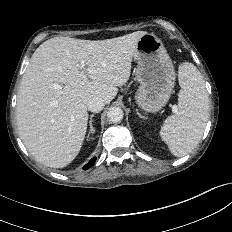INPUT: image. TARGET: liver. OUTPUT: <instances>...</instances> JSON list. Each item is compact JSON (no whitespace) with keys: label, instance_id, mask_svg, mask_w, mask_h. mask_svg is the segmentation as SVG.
<instances>
[{"label":"liver","instance_id":"liver-1","mask_svg":"<svg viewBox=\"0 0 232 232\" xmlns=\"http://www.w3.org/2000/svg\"><path fill=\"white\" fill-rule=\"evenodd\" d=\"M145 34L97 41L54 37L36 49L21 81L16 117L20 138L38 162L62 168L75 159L87 131L88 101L115 98Z\"/></svg>","mask_w":232,"mask_h":232}]
</instances>
